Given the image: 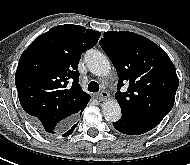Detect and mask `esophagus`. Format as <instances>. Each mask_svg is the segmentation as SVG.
I'll return each mask as SVG.
<instances>
[{
	"label": "esophagus",
	"instance_id": "34e87169",
	"mask_svg": "<svg viewBox=\"0 0 190 165\" xmlns=\"http://www.w3.org/2000/svg\"><path fill=\"white\" fill-rule=\"evenodd\" d=\"M108 97H109V94H108V92H106V91H101V92L98 94V99H99L100 101H104V100H106Z\"/></svg>",
	"mask_w": 190,
	"mask_h": 165
}]
</instances>
